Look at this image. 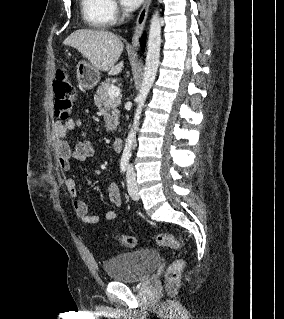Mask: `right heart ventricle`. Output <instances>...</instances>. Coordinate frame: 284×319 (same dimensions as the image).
<instances>
[{
  "label": "right heart ventricle",
  "mask_w": 284,
  "mask_h": 319,
  "mask_svg": "<svg viewBox=\"0 0 284 319\" xmlns=\"http://www.w3.org/2000/svg\"><path fill=\"white\" fill-rule=\"evenodd\" d=\"M80 8L84 21L90 27L104 29L112 23L108 0H80Z\"/></svg>",
  "instance_id": "obj_1"
}]
</instances>
